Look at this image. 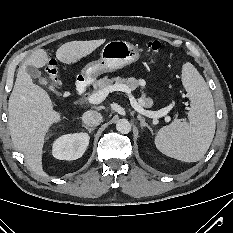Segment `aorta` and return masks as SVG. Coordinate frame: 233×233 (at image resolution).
I'll use <instances>...</instances> for the list:
<instances>
[{
	"label": "aorta",
	"mask_w": 233,
	"mask_h": 233,
	"mask_svg": "<svg viewBox=\"0 0 233 233\" xmlns=\"http://www.w3.org/2000/svg\"><path fill=\"white\" fill-rule=\"evenodd\" d=\"M116 129L122 134H128L131 131V124L127 119H120L116 123Z\"/></svg>",
	"instance_id": "obj_1"
}]
</instances>
